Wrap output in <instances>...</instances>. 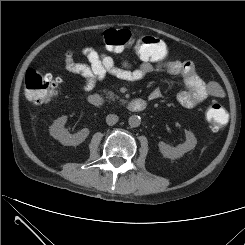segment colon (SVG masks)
I'll return each instance as SVG.
<instances>
[{"label":"colon","instance_id":"obj_1","mask_svg":"<svg viewBox=\"0 0 245 245\" xmlns=\"http://www.w3.org/2000/svg\"><path fill=\"white\" fill-rule=\"evenodd\" d=\"M104 44L114 51L134 48L137 56L143 62L159 63L168 56L165 43L153 36H136L127 29H110L103 34ZM61 79L52 74H43L34 68H29L25 74V89L28 99L35 104L48 103L58 88ZM206 121L213 132L222 129L227 121L225 107L214 101L205 112Z\"/></svg>","mask_w":245,"mask_h":245}]
</instances>
